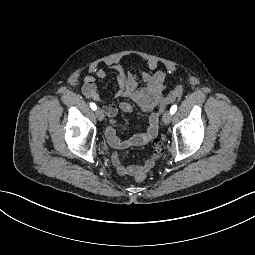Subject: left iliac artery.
<instances>
[{"mask_svg": "<svg viewBox=\"0 0 255 255\" xmlns=\"http://www.w3.org/2000/svg\"><path fill=\"white\" fill-rule=\"evenodd\" d=\"M177 110V105H173L170 109L171 114H174Z\"/></svg>", "mask_w": 255, "mask_h": 255, "instance_id": "left-iliac-artery-1", "label": "left iliac artery"}]
</instances>
